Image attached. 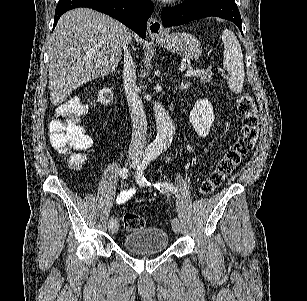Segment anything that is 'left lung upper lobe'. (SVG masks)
Listing matches in <instances>:
<instances>
[{"mask_svg": "<svg viewBox=\"0 0 307 301\" xmlns=\"http://www.w3.org/2000/svg\"><path fill=\"white\" fill-rule=\"evenodd\" d=\"M194 1V0H185V2Z\"/></svg>", "mask_w": 307, "mask_h": 301, "instance_id": "1", "label": "left lung upper lobe"}]
</instances>
